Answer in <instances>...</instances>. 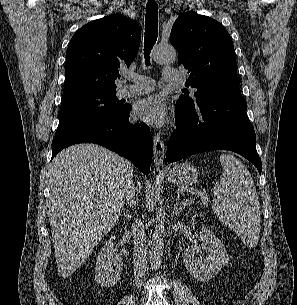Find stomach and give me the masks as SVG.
<instances>
[{
  "mask_svg": "<svg viewBox=\"0 0 297 305\" xmlns=\"http://www.w3.org/2000/svg\"><path fill=\"white\" fill-rule=\"evenodd\" d=\"M197 169L189 162H182L175 165L167 173L169 182L178 186H190L197 182Z\"/></svg>",
  "mask_w": 297,
  "mask_h": 305,
  "instance_id": "obj_1",
  "label": "stomach"
}]
</instances>
